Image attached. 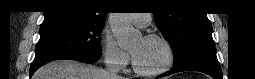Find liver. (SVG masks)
Wrapping results in <instances>:
<instances>
[{"instance_id": "obj_1", "label": "liver", "mask_w": 255, "mask_h": 79, "mask_svg": "<svg viewBox=\"0 0 255 79\" xmlns=\"http://www.w3.org/2000/svg\"><path fill=\"white\" fill-rule=\"evenodd\" d=\"M33 79H123L111 76L104 69L75 60H56L39 68Z\"/></svg>"}]
</instances>
